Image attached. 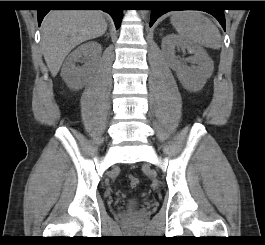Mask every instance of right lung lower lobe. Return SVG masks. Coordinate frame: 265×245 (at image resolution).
I'll use <instances>...</instances> for the list:
<instances>
[{"label":"right lung lower lobe","mask_w":265,"mask_h":245,"mask_svg":"<svg viewBox=\"0 0 265 245\" xmlns=\"http://www.w3.org/2000/svg\"><path fill=\"white\" fill-rule=\"evenodd\" d=\"M94 3H80V6L101 7L103 11L108 12L114 19L117 29L120 26L122 10L119 8V1H93ZM64 6V5H58ZM48 9L38 10V25L41 24L44 16L49 12Z\"/></svg>","instance_id":"1"}]
</instances>
